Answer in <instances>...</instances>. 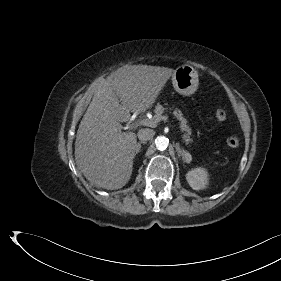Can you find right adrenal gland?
<instances>
[{
    "label": "right adrenal gland",
    "mask_w": 281,
    "mask_h": 281,
    "mask_svg": "<svg viewBox=\"0 0 281 281\" xmlns=\"http://www.w3.org/2000/svg\"><path fill=\"white\" fill-rule=\"evenodd\" d=\"M141 144H146V142H138L136 145H135V155L138 154L141 150Z\"/></svg>",
    "instance_id": "1"
}]
</instances>
